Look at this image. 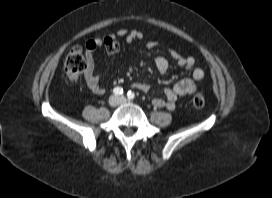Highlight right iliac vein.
<instances>
[{
    "instance_id": "right-iliac-vein-1",
    "label": "right iliac vein",
    "mask_w": 272,
    "mask_h": 198,
    "mask_svg": "<svg viewBox=\"0 0 272 198\" xmlns=\"http://www.w3.org/2000/svg\"><path fill=\"white\" fill-rule=\"evenodd\" d=\"M119 102H120V99H119V97H117V96H111V97L109 98V104H110L111 106H116V105L119 104Z\"/></svg>"
}]
</instances>
